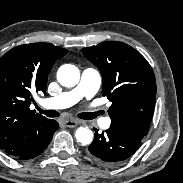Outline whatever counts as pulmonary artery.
Segmentation results:
<instances>
[{
	"mask_svg": "<svg viewBox=\"0 0 183 183\" xmlns=\"http://www.w3.org/2000/svg\"><path fill=\"white\" fill-rule=\"evenodd\" d=\"M101 84V76L95 69H85L81 75L79 84L73 89L63 92L58 96L41 100L45 108L63 109L70 107L83 98H92L98 91ZM104 127L109 128L110 121H104Z\"/></svg>",
	"mask_w": 183,
	"mask_h": 183,
	"instance_id": "pulmonary-artery-1",
	"label": "pulmonary artery"
}]
</instances>
